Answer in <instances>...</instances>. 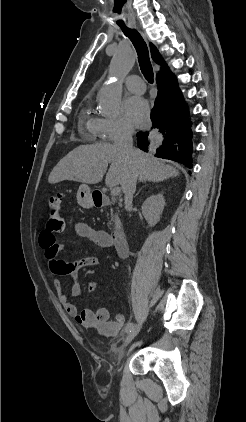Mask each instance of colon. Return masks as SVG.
Wrapping results in <instances>:
<instances>
[{"label": "colon", "mask_w": 246, "mask_h": 422, "mask_svg": "<svg viewBox=\"0 0 246 422\" xmlns=\"http://www.w3.org/2000/svg\"><path fill=\"white\" fill-rule=\"evenodd\" d=\"M64 217H63V206L62 196L56 194L50 197L49 200V219L47 227L56 232L63 229Z\"/></svg>", "instance_id": "colon-1"}]
</instances>
